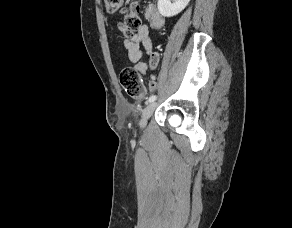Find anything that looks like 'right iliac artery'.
Returning a JSON list of instances; mask_svg holds the SVG:
<instances>
[{
	"label": "right iliac artery",
	"instance_id": "right-iliac-artery-1",
	"mask_svg": "<svg viewBox=\"0 0 292 228\" xmlns=\"http://www.w3.org/2000/svg\"><path fill=\"white\" fill-rule=\"evenodd\" d=\"M156 98H157V96L156 95H152L150 98H149V100H148V102H154L155 100H156Z\"/></svg>",
	"mask_w": 292,
	"mask_h": 228
}]
</instances>
